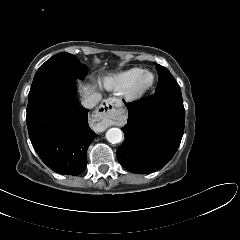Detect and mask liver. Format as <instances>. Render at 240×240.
Segmentation results:
<instances>
[{"instance_id": "1", "label": "liver", "mask_w": 240, "mask_h": 240, "mask_svg": "<svg viewBox=\"0 0 240 240\" xmlns=\"http://www.w3.org/2000/svg\"><path fill=\"white\" fill-rule=\"evenodd\" d=\"M94 90H95L94 86L84 85V86H81L80 92L83 94V96L86 97L87 95H90L91 93H93Z\"/></svg>"}]
</instances>
